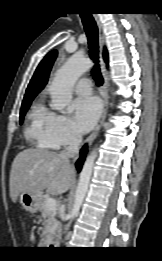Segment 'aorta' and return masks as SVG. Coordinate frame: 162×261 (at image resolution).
Segmentation results:
<instances>
[{
  "label": "aorta",
  "instance_id": "762f6f07",
  "mask_svg": "<svg viewBox=\"0 0 162 261\" xmlns=\"http://www.w3.org/2000/svg\"><path fill=\"white\" fill-rule=\"evenodd\" d=\"M92 67V61L80 54L72 55L68 61L57 71L52 81L49 91L51 95V107L62 111L71 103L72 89L78 78ZM97 156L93 150L87 157L79 176L78 185L75 192L73 208L69 214L70 221L65 227L68 230L72 220L78 215L81 205L88 191L90 179L93 173L94 162Z\"/></svg>",
  "mask_w": 162,
  "mask_h": 261
}]
</instances>
